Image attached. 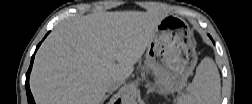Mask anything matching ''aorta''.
I'll list each match as a JSON object with an SVG mask.
<instances>
[{"instance_id":"1","label":"aorta","mask_w":252,"mask_h":104,"mask_svg":"<svg viewBox=\"0 0 252 104\" xmlns=\"http://www.w3.org/2000/svg\"><path fill=\"white\" fill-rule=\"evenodd\" d=\"M122 102L124 104H133V103H135V98L130 95H124Z\"/></svg>"}]
</instances>
